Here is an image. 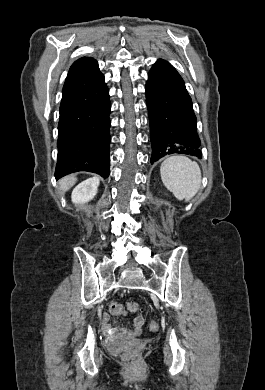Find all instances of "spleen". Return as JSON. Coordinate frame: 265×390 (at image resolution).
Instances as JSON below:
<instances>
[{
	"label": "spleen",
	"instance_id": "obj_1",
	"mask_svg": "<svg viewBox=\"0 0 265 390\" xmlns=\"http://www.w3.org/2000/svg\"><path fill=\"white\" fill-rule=\"evenodd\" d=\"M161 179L178 200L189 201L201 185L199 165L185 156H171L162 162Z\"/></svg>",
	"mask_w": 265,
	"mask_h": 390
}]
</instances>
